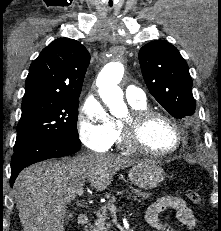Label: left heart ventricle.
<instances>
[{
  "mask_svg": "<svg viewBox=\"0 0 221 231\" xmlns=\"http://www.w3.org/2000/svg\"><path fill=\"white\" fill-rule=\"evenodd\" d=\"M143 139L147 148L158 152L172 149L177 141L174 128L162 119L147 124Z\"/></svg>",
  "mask_w": 221,
  "mask_h": 231,
  "instance_id": "obj_1",
  "label": "left heart ventricle"
}]
</instances>
